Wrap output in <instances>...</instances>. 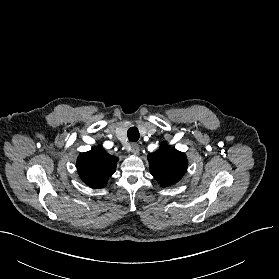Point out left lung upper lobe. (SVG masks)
Segmentation results:
<instances>
[{"instance_id": "1", "label": "left lung upper lobe", "mask_w": 279, "mask_h": 279, "mask_svg": "<svg viewBox=\"0 0 279 279\" xmlns=\"http://www.w3.org/2000/svg\"><path fill=\"white\" fill-rule=\"evenodd\" d=\"M150 173L162 187L178 182L187 170L185 153L163 143L160 148L148 155Z\"/></svg>"}]
</instances>
